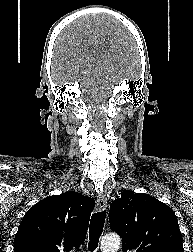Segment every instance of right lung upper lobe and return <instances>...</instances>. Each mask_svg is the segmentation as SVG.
<instances>
[{"label": "right lung upper lobe", "instance_id": "obj_1", "mask_svg": "<svg viewBox=\"0 0 193 252\" xmlns=\"http://www.w3.org/2000/svg\"><path fill=\"white\" fill-rule=\"evenodd\" d=\"M93 198L74 191L49 196L32 206L14 238V252H74L84 243Z\"/></svg>", "mask_w": 193, "mask_h": 252}]
</instances>
